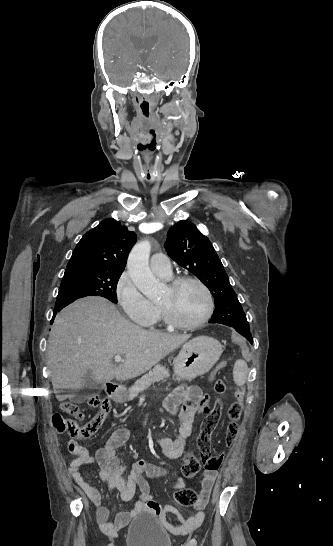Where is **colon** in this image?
<instances>
[{"label":"colon","mask_w":333,"mask_h":546,"mask_svg":"<svg viewBox=\"0 0 333 546\" xmlns=\"http://www.w3.org/2000/svg\"><path fill=\"white\" fill-rule=\"evenodd\" d=\"M235 401L228 409V417L230 419L226 430V445L229 447L235 441L238 431V421L241 417L242 403L245 399V388L238 382L235 384ZM214 391L222 394L226 391V384L223 380L217 379L214 382ZM208 396L201 398L199 405L203 413L200 433L197 438V453L198 457L191 451L184 455V464L182 467L183 474L186 477L195 476L202 466L209 471H217L222 464V456H213L210 452L211 434L216 428L222 411L220 401H215L213 405H208ZM87 403L91 407H100V411L86 424H79L76 420L66 418L63 415L56 413L53 415L52 423L54 429L58 433H67L75 439H88L92 437L103 424L107 414L110 411V401L108 398L101 399L98 395L88 397ZM61 409L64 413L80 418L82 415L79 407L70 401H64L61 404ZM200 500V495L191 489H180L175 493V501L181 506H190L197 504Z\"/></svg>","instance_id":"1"}]
</instances>
